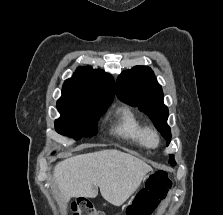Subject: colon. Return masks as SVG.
<instances>
[{
  "instance_id": "1",
  "label": "colon",
  "mask_w": 223,
  "mask_h": 215,
  "mask_svg": "<svg viewBox=\"0 0 223 215\" xmlns=\"http://www.w3.org/2000/svg\"><path fill=\"white\" fill-rule=\"evenodd\" d=\"M171 187V181L165 171L151 175L146 186L135 197L127 209L128 215H150ZM72 215H105L96 210L89 202L78 201L72 204Z\"/></svg>"
}]
</instances>
